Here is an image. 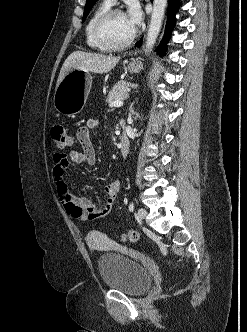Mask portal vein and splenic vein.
<instances>
[{"label":"portal vein and splenic vein","mask_w":247,"mask_h":332,"mask_svg":"<svg viewBox=\"0 0 247 332\" xmlns=\"http://www.w3.org/2000/svg\"><path fill=\"white\" fill-rule=\"evenodd\" d=\"M122 105H123V101L122 100H116V101H113L110 104V107H121Z\"/></svg>","instance_id":"obj_1"}]
</instances>
